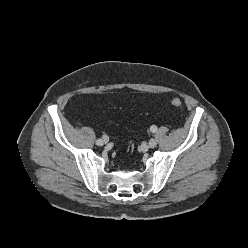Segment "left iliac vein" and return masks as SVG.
<instances>
[{"label": "left iliac vein", "mask_w": 248, "mask_h": 248, "mask_svg": "<svg viewBox=\"0 0 248 248\" xmlns=\"http://www.w3.org/2000/svg\"><path fill=\"white\" fill-rule=\"evenodd\" d=\"M148 145H149L150 148L156 147L157 140L155 138L150 139Z\"/></svg>", "instance_id": "4c4485c4"}]
</instances>
